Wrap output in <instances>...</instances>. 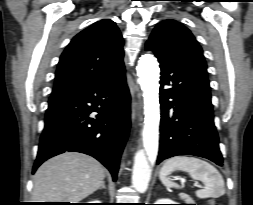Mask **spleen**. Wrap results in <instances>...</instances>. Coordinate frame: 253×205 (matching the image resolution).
<instances>
[{"label":"spleen","instance_id":"spleen-1","mask_svg":"<svg viewBox=\"0 0 253 205\" xmlns=\"http://www.w3.org/2000/svg\"><path fill=\"white\" fill-rule=\"evenodd\" d=\"M175 170L187 172L192 179L203 182L204 188L195 192L198 198H217L225 193V183L220 172L202 159L188 156L168 159L159 172V178L167 188H180L178 184L168 178Z\"/></svg>","mask_w":253,"mask_h":205}]
</instances>
